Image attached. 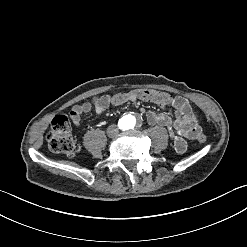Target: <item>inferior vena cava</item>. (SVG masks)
<instances>
[{
	"mask_svg": "<svg viewBox=\"0 0 247 247\" xmlns=\"http://www.w3.org/2000/svg\"><path fill=\"white\" fill-rule=\"evenodd\" d=\"M119 133V129L116 125H110L107 129V134L109 137H116Z\"/></svg>",
	"mask_w": 247,
	"mask_h": 247,
	"instance_id": "1",
	"label": "inferior vena cava"
}]
</instances>
